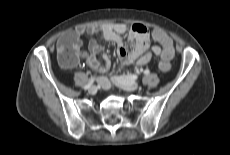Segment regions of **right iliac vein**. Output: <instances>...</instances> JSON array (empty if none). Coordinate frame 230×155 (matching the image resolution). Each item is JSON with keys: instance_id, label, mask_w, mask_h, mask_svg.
<instances>
[{"instance_id": "1", "label": "right iliac vein", "mask_w": 230, "mask_h": 155, "mask_svg": "<svg viewBox=\"0 0 230 155\" xmlns=\"http://www.w3.org/2000/svg\"><path fill=\"white\" fill-rule=\"evenodd\" d=\"M96 91H97V89H96L95 86H91V87H89V89H88V93H89V94H95Z\"/></svg>"}]
</instances>
